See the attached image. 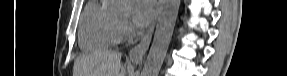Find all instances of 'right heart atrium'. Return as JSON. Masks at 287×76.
I'll return each mask as SVG.
<instances>
[{
  "instance_id": "1",
  "label": "right heart atrium",
  "mask_w": 287,
  "mask_h": 76,
  "mask_svg": "<svg viewBox=\"0 0 287 76\" xmlns=\"http://www.w3.org/2000/svg\"><path fill=\"white\" fill-rule=\"evenodd\" d=\"M131 32V25L127 20H120L118 23V34L120 38L127 37Z\"/></svg>"
}]
</instances>
